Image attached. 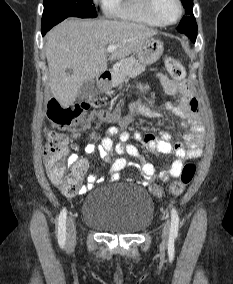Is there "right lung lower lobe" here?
<instances>
[{
    "instance_id": "98d812e1",
    "label": "right lung lower lobe",
    "mask_w": 233,
    "mask_h": 284,
    "mask_svg": "<svg viewBox=\"0 0 233 284\" xmlns=\"http://www.w3.org/2000/svg\"><path fill=\"white\" fill-rule=\"evenodd\" d=\"M49 29H50V28L42 29V35H45V33H46Z\"/></svg>"
}]
</instances>
